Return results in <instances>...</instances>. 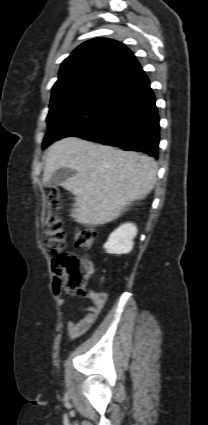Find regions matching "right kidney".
Returning a JSON list of instances; mask_svg holds the SVG:
<instances>
[{
	"mask_svg": "<svg viewBox=\"0 0 208 425\" xmlns=\"http://www.w3.org/2000/svg\"><path fill=\"white\" fill-rule=\"evenodd\" d=\"M137 234V227L132 223H125L119 226L108 238L104 244L107 253L127 254L133 248V239Z\"/></svg>",
	"mask_w": 208,
	"mask_h": 425,
	"instance_id": "ca27d5eb",
	"label": "right kidney"
}]
</instances>
